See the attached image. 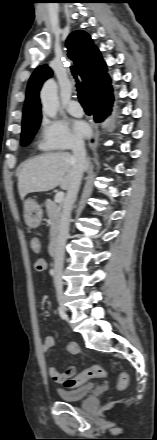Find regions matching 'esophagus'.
<instances>
[{
    "instance_id": "1",
    "label": "esophagus",
    "mask_w": 157,
    "mask_h": 440,
    "mask_svg": "<svg viewBox=\"0 0 157 440\" xmlns=\"http://www.w3.org/2000/svg\"><path fill=\"white\" fill-rule=\"evenodd\" d=\"M91 128H92V136L90 137L88 144L91 149H94L97 145L99 132L97 130L96 125H94L93 123L91 124Z\"/></svg>"
}]
</instances>
